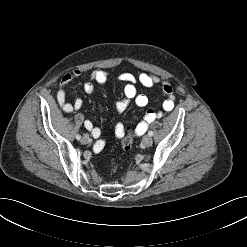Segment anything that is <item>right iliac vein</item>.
<instances>
[{"instance_id": "obj_1", "label": "right iliac vein", "mask_w": 247, "mask_h": 247, "mask_svg": "<svg viewBox=\"0 0 247 247\" xmlns=\"http://www.w3.org/2000/svg\"><path fill=\"white\" fill-rule=\"evenodd\" d=\"M89 136L87 135V134H84L83 135V137H82V139H81V142L83 143V144H87V143H89Z\"/></svg>"}]
</instances>
